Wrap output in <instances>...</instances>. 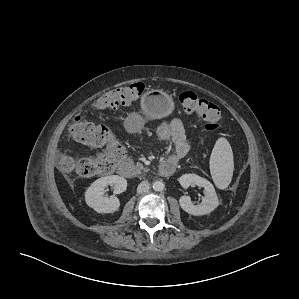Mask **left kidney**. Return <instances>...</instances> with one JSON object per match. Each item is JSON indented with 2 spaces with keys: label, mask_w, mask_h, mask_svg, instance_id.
Returning <instances> with one entry per match:
<instances>
[{
  "label": "left kidney",
  "mask_w": 299,
  "mask_h": 299,
  "mask_svg": "<svg viewBox=\"0 0 299 299\" xmlns=\"http://www.w3.org/2000/svg\"><path fill=\"white\" fill-rule=\"evenodd\" d=\"M179 183L185 189L192 184L204 188L205 196L202 198V202L198 205H194L189 196L180 197V206L188 214L195 216L205 215L211 213L218 207L219 200L214 186L207 179L196 174H184L179 178Z\"/></svg>",
  "instance_id": "left-kidney-1"
}]
</instances>
